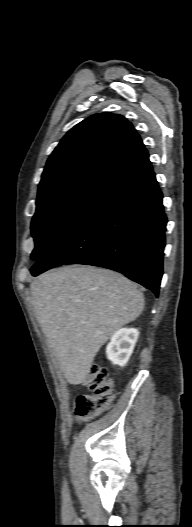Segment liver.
Returning <instances> with one entry per match:
<instances>
[{"label": "liver", "mask_w": 192, "mask_h": 527, "mask_svg": "<svg viewBox=\"0 0 192 527\" xmlns=\"http://www.w3.org/2000/svg\"><path fill=\"white\" fill-rule=\"evenodd\" d=\"M30 288L36 318L73 385L86 380L102 345L144 309L137 285L107 269L66 266Z\"/></svg>", "instance_id": "6515ba94"}]
</instances>
